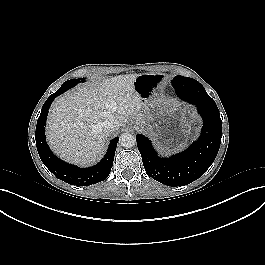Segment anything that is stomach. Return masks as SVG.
<instances>
[{"instance_id":"stomach-1","label":"stomach","mask_w":265,"mask_h":265,"mask_svg":"<svg viewBox=\"0 0 265 265\" xmlns=\"http://www.w3.org/2000/svg\"><path fill=\"white\" fill-rule=\"evenodd\" d=\"M163 82L164 76L160 73H144L137 76L134 85L143 101L149 104ZM136 125L156 135L157 143L164 149L183 146L195 132L192 116L181 106H168L159 112L149 109L145 119Z\"/></svg>"}]
</instances>
